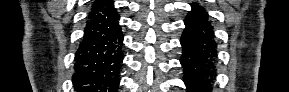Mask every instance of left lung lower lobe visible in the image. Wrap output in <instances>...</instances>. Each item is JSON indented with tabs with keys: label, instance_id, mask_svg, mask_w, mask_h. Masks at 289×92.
<instances>
[{
	"label": "left lung lower lobe",
	"instance_id": "0a47b994",
	"mask_svg": "<svg viewBox=\"0 0 289 92\" xmlns=\"http://www.w3.org/2000/svg\"><path fill=\"white\" fill-rule=\"evenodd\" d=\"M180 40L183 55L184 82L188 92H211L215 76L216 49L208 14L202 6L192 4Z\"/></svg>",
	"mask_w": 289,
	"mask_h": 92
}]
</instances>
